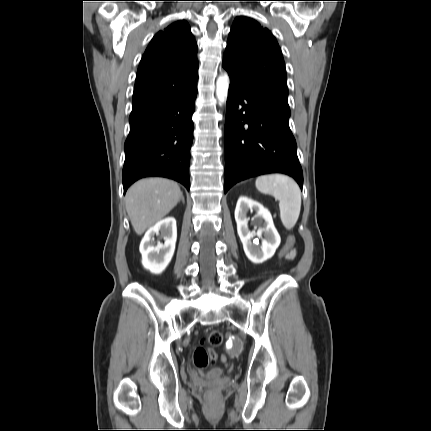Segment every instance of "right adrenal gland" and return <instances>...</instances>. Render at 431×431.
<instances>
[{
  "instance_id": "obj_1",
  "label": "right adrenal gland",
  "mask_w": 431,
  "mask_h": 431,
  "mask_svg": "<svg viewBox=\"0 0 431 431\" xmlns=\"http://www.w3.org/2000/svg\"><path fill=\"white\" fill-rule=\"evenodd\" d=\"M181 201L183 202V204L185 203V200H184V197H183V195H181Z\"/></svg>"
}]
</instances>
